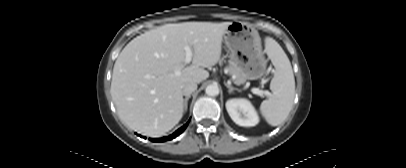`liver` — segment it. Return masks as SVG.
Wrapping results in <instances>:
<instances>
[{"label": "liver", "instance_id": "1", "mask_svg": "<svg viewBox=\"0 0 406 168\" xmlns=\"http://www.w3.org/2000/svg\"><path fill=\"white\" fill-rule=\"evenodd\" d=\"M229 24H166L131 40L112 73L110 92L120 120L150 137L162 136L177 125L184 112L183 85L209 77L204 68L220 60ZM185 46L193 52L192 64L186 67Z\"/></svg>", "mask_w": 406, "mask_h": 168}]
</instances>
